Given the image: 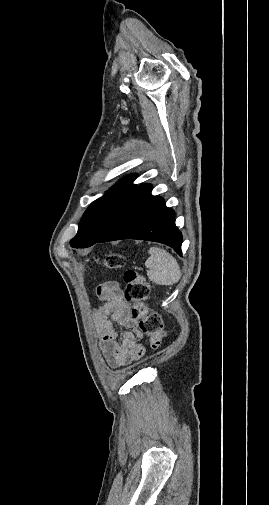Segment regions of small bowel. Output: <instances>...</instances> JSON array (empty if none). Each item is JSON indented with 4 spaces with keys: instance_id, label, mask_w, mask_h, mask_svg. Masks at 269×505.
Instances as JSON below:
<instances>
[{
    "instance_id": "small-bowel-1",
    "label": "small bowel",
    "mask_w": 269,
    "mask_h": 505,
    "mask_svg": "<svg viewBox=\"0 0 269 505\" xmlns=\"http://www.w3.org/2000/svg\"><path fill=\"white\" fill-rule=\"evenodd\" d=\"M97 295L102 304L94 312V323L107 363L112 368H118L138 360L145 353L144 346L138 343L143 334L130 314L129 303L120 285L116 282L105 283L97 289ZM114 323L127 329L120 340Z\"/></svg>"
}]
</instances>
